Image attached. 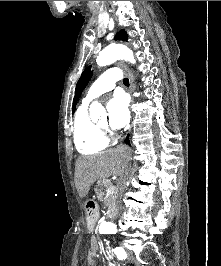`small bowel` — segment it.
<instances>
[{
	"instance_id": "1",
	"label": "small bowel",
	"mask_w": 221,
	"mask_h": 266,
	"mask_svg": "<svg viewBox=\"0 0 221 266\" xmlns=\"http://www.w3.org/2000/svg\"><path fill=\"white\" fill-rule=\"evenodd\" d=\"M99 252L98 243L95 238L91 239V248L89 250L88 266H94V257L97 256Z\"/></svg>"
}]
</instances>
